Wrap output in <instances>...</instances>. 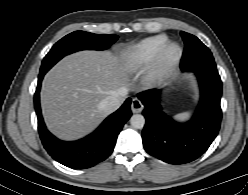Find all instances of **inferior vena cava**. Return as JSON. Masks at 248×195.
Wrapping results in <instances>:
<instances>
[{
    "label": "inferior vena cava",
    "instance_id": "602c4592",
    "mask_svg": "<svg viewBox=\"0 0 248 195\" xmlns=\"http://www.w3.org/2000/svg\"><path fill=\"white\" fill-rule=\"evenodd\" d=\"M127 95V90L124 88L119 89L118 91L114 92L113 95L107 96L99 103V109L104 111L105 113H112L117 110L122 100Z\"/></svg>",
    "mask_w": 248,
    "mask_h": 195
}]
</instances>
